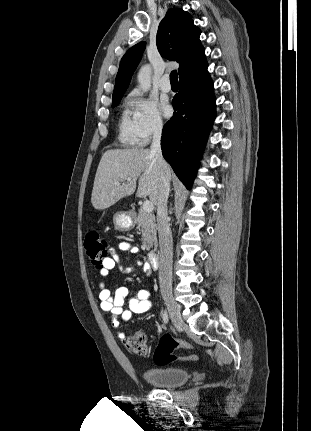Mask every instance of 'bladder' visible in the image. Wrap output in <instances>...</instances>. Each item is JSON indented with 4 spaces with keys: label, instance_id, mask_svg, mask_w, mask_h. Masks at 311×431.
<instances>
[{
    "label": "bladder",
    "instance_id": "1",
    "mask_svg": "<svg viewBox=\"0 0 311 431\" xmlns=\"http://www.w3.org/2000/svg\"><path fill=\"white\" fill-rule=\"evenodd\" d=\"M142 377L154 386L173 388L185 384L190 378V373L183 367L159 366L145 369Z\"/></svg>",
    "mask_w": 311,
    "mask_h": 431
}]
</instances>
